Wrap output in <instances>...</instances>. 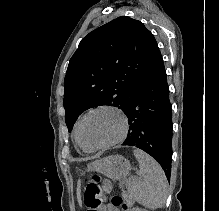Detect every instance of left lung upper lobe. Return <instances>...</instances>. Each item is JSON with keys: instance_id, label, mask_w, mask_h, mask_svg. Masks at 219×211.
<instances>
[{"instance_id": "5c2ea615", "label": "left lung upper lobe", "mask_w": 219, "mask_h": 211, "mask_svg": "<svg viewBox=\"0 0 219 211\" xmlns=\"http://www.w3.org/2000/svg\"><path fill=\"white\" fill-rule=\"evenodd\" d=\"M162 60L152 33L121 16L85 36L65 76L64 108L69 131L85 110L115 106L125 111L143 78Z\"/></svg>"}]
</instances>
